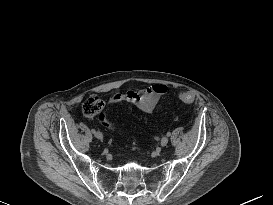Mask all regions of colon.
<instances>
[{"label":"colon","instance_id":"5ec220e1","mask_svg":"<svg viewBox=\"0 0 273 205\" xmlns=\"http://www.w3.org/2000/svg\"><path fill=\"white\" fill-rule=\"evenodd\" d=\"M179 99L184 103H192L194 101V95L190 92H181L178 95ZM103 103L95 95L86 98L82 105L83 114L86 117L93 118L98 116L99 120L108 128L115 130L116 126L108 119V117L102 113Z\"/></svg>","mask_w":273,"mask_h":205}]
</instances>
